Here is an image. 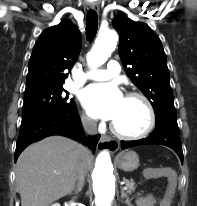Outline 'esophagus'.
Returning <instances> with one entry per match:
<instances>
[{
	"label": "esophagus",
	"mask_w": 197,
	"mask_h": 206,
	"mask_svg": "<svg viewBox=\"0 0 197 206\" xmlns=\"http://www.w3.org/2000/svg\"><path fill=\"white\" fill-rule=\"evenodd\" d=\"M90 8L96 13H99L100 11L98 3H91ZM97 147L100 150L106 149L108 151L115 152L119 148V143L116 140L110 138L109 136L102 135L100 138V143Z\"/></svg>",
	"instance_id": "esophagus-1"
}]
</instances>
